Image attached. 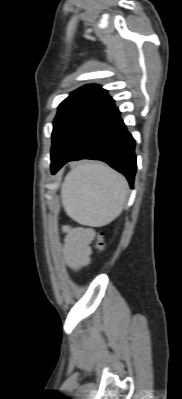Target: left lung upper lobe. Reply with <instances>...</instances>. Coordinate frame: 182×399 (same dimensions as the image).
Instances as JSON below:
<instances>
[{
    "label": "left lung upper lobe",
    "instance_id": "5c2ea615",
    "mask_svg": "<svg viewBox=\"0 0 182 399\" xmlns=\"http://www.w3.org/2000/svg\"><path fill=\"white\" fill-rule=\"evenodd\" d=\"M112 98L98 85H87L72 92L59 106L53 123L51 161L65 149L83 120Z\"/></svg>",
    "mask_w": 182,
    "mask_h": 399
}]
</instances>
